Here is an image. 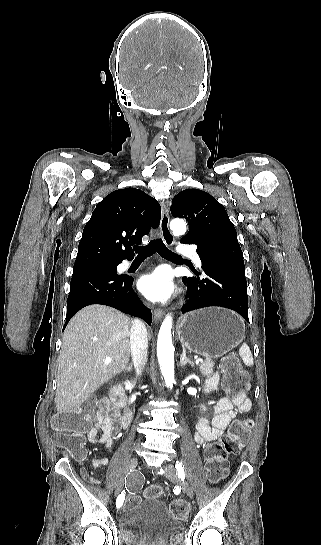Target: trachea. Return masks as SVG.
I'll return each instance as SVG.
<instances>
[{
    "label": "trachea",
    "instance_id": "3493384b",
    "mask_svg": "<svg viewBox=\"0 0 321 545\" xmlns=\"http://www.w3.org/2000/svg\"><path fill=\"white\" fill-rule=\"evenodd\" d=\"M134 250L137 253L136 258H147L153 255L154 253H159L161 257L166 258L167 260L174 261H184V259L177 255V253L171 252L163 243L161 238L151 240L146 246H134Z\"/></svg>",
    "mask_w": 321,
    "mask_h": 545
}]
</instances>
